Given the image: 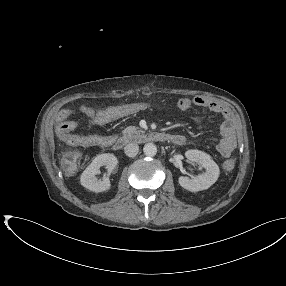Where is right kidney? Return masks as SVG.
Segmentation results:
<instances>
[{
  "label": "right kidney",
  "mask_w": 286,
  "mask_h": 286,
  "mask_svg": "<svg viewBox=\"0 0 286 286\" xmlns=\"http://www.w3.org/2000/svg\"><path fill=\"white\" fill-rule=\"evenodd\" d=\"M118 160L111 153L100 154L95 157L89 166L83 171L80 177V183L86 189L93 192H103L110 189V180L104 176L103 179H97L95 175L100 172V167L106 166L110 174L116 168Z\"/></svg>",
  "instance_id": "obj_1"
}]
</instances>
